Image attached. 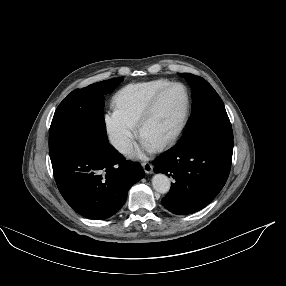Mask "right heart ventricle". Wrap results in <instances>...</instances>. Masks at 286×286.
I'll use <instances>...</instances> for the list:
<instances>
[{"mask_svg":"<svg viewBox=\"0 0 286 286\" xmlns=\"http://www.w3.org/2000/svg\"><path fill=\"white\" fill-rule=\"evenodd\" d=\"M170 83L168 79L159 78L129 84L115 95V107L135 125L150 99Z\"/></svg>","mask_w":286,"mask_h":286,"instance_id":"right-heart-ventricle-1","label":"right heart ventricle"}]
</instances>
